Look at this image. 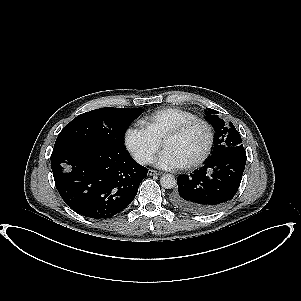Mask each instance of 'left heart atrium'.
<instances>
[{
	"label": "left heart atrium",
	"mask_w": 301,
	"mask_h": 301,
	"mask_svg": "<svg viewBox=\"0 0 301 301\" xmlns=\"http://www.w3.org/2000/svg\"><path fill=\"white\" fill-rule=\"evenodd\" d=\"M153 163L162 169L177 170L184 168L188 162L173 151L165 149L153 160Z\"/></svg>",
	"instance_id": "obj_1"
}]
</instances>
